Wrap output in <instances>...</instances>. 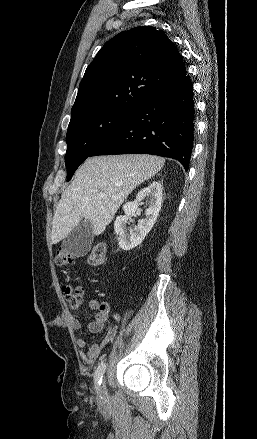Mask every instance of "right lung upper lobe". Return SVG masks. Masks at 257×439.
<instances>
[{
    "instance_id": "obj_1",
    "label": "right lung upper lobe",
    "mask_w": 257,
    "mask_h": 439,
    "mask_svg": "<svg viewBox=\"0 0 257 439\" xmlns=\"http://www.w3.org/2000/svg\"><path fill=\"white\" fill-rule=\"evenodd\" d=\"M186 75L182 56L167 35L136 27L109 40L87 67L71 110L135 111L146 99Z\"/></svg>"
}]
</instances>
